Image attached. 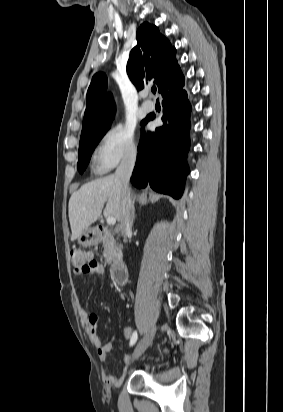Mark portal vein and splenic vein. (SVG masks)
<instances>
[{
  "instance_id": "portal-vein-and-splenic-vein-1",
  "label": "portal vein and splenic vein",
  "mask_w": 283,
  "mask_h": 412,
  "mask_svg": "<svg viewBox=\"0 0 283 412\" xmlns=\"http://www.w3.org/2000/svg\"><path fill=\"white\" fill-rule=\"evenodd\" d=\"M106 222L108 225H115L116 219L114 217H108Z\"/></svg>"
}]
</instances>
